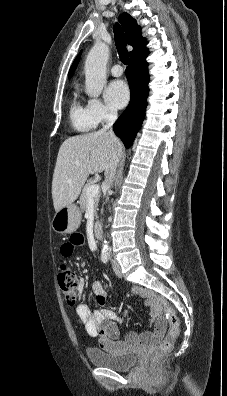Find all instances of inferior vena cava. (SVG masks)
Wrapping results in <instances>:
<instances>
[{
    "instance_id": "1",
    "label": "inferior vena cava",
    "mask_w": 227,
    "mask_h": 396,
    "mask_svg": "<svg viewBox=\"0 0 227 396\" xmlns=\"http://www.w3.org/2000/svg\"><path fill=\"white\" fill-rule=\"evenodd\" d=\"M117 119V111L114 109H110L108 114H107V123L105 126H103L101 132L107 133L111 138L115 139L116 136L112 130V125ZM119 157L120 155L116 154V152L113 153L112 158L110 159L106 170H105V181L104 183L107 186H110L113 178L116 173V168L119 162Z\"/></svg>"
}]
</instances>
